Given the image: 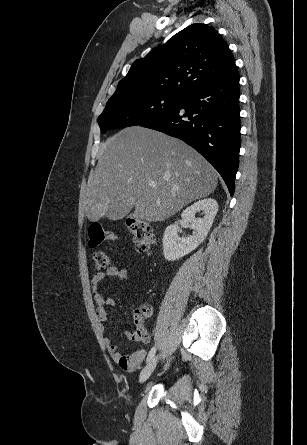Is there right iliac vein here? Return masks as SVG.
I'll return each mask as SVG.
<instances>
[{
    "label": "right iliac vein",
    "mask_w": 307,
    "mask_h": 445,
    "mask_svg": "<svg viewBox=\"0 0 307 445\" xmlns=\"http://www.w3.org/2000/svg\"><path fill=\"white\" fill-rule=\"evenodd\" d=\"M158 361V356L153 357L149 363L144 367L139 376V382L144 383L154 371Z\"/></svg>",
    "instance_id": "right-iliac-vein-1"
}]
</instances>
